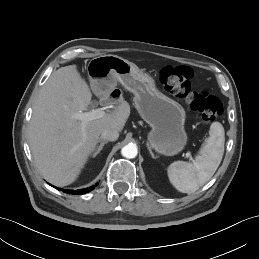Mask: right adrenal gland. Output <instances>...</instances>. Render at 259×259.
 <instances>
[{"label": "right adrenal gland", "mask_w": 259, "mask_h": 259, "mask_svg": "<svg viewBox=\"0 0 259 259\" xmlns=\"http://www.w3.org/2000/svg\"><path fill=\"white\" fill-rule=\"evenodd\" d=\"M107 143H108L107 141H102V142L100 143V145L97 146L96 151L92 154V157L95 158V157L100 153V151L103 149V146H104L105 144H107Z\"/></svg>", "instance_id": "obj_1"}]
</instances>
